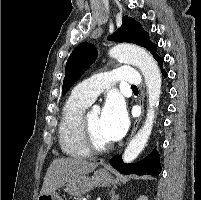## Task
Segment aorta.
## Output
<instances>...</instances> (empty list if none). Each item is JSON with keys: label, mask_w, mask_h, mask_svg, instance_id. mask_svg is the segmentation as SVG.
<instances>
[{"label": "aorta", "mask_w": 201, "mask_h": 200, "mask_svg": "<svg viewBox=\"0 0 201 200\" xmlns=\"http://www.w3.org/2000/svg\"><path fill=\"white\" fill-rule=\"evenodd\" d=\"M109 55L121 62L138 67L143 73L147 86L148 110L146 120L141 129L132 138L123 154V161L130 163L144 149L151 134L155 119V109L159 105L161 95V73L154 58L140 47L119 44L110 49Z\"/></svg>", "instance_id": "obj_1"}]
</instances>
